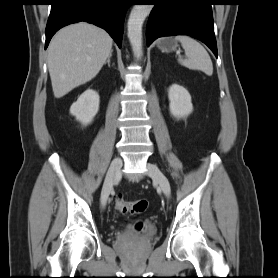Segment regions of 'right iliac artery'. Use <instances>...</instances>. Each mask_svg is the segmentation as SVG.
<instances>
[{
  "instance_id": "82829eb1",
  "label": "right iliac artery",
  "mask_w": 278,
  "mask_h": 278,
  "mask_svg": "<svg viewBox=\"0 0 278 278\" xmlns=\"http://www.w3.org/2000/svg\"><path fill=\"white\" fill-rule=\"evenodd\" d=\"M120 178H121V173L119 172L118 174H117V176H116V181H119L120 180Z\"/></svg>"
}]
</instances>
